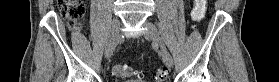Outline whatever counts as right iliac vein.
Returning <instances> with one entry per match:
<instances>
[{
	"instance_id": "obj_1",
	"label": "right iliac vein",
	"mask_w": 279,
	"mask_h": 82,
	"mask_svg": "<svg viewBox=\"0 0 279 82\" xmlns=\"http://www.w3.org/2000/svg\"><path fill=\"white\" fill-rule=\"evenodd\" d=\"M119 29H120V22L118 19H115L112 22L111 30L109 33V38H108V41H107L106 47H105V57L106 58H109L113 53V50L116 46L117 39L119 37Z\"/></svg>"
}]
</instances>
